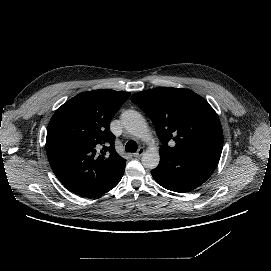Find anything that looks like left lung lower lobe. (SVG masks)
Returning a JSON list of instances; mask_svg holds the SVG:
<instances>
[{
  "instance_id": "0a47b994",
  "label": "left lung lower lobe",
  "mask_w": 271,
  "mask_h": 271,
  "mask_svg": "<svg viewBox=\"0 0 271 271\" xmlns=\"http://www.w3.org/2000/svg\"><path fill=\"white\" fill-rule=\"evenodd\" d=\"M160 163L151 171L162 187L179 193L202 185L215 170L219 159L160 148Z\"/></svg>"
}]
</instances>
